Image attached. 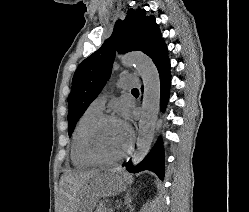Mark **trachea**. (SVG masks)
<instances>
[{
    "label": "trachea",
    "mask_w": 249,
    "mask_h": 212,
    "mask_svg": "<svg viewBox=\"0 0 249 212\" xmlns=\"http://www.w3.org/2000/svg\"><path fill=\"white\" fill-rule=\"evenodd\" d=\"M132 90H138L137 88H133Z\"/></svg>",
    "instance_id": "trachea-1"
}]
</instances>
